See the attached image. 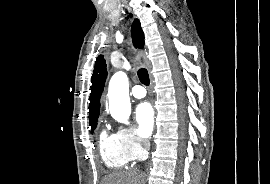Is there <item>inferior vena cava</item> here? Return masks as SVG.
<instances>
[{"mask_svg": "<svg viewBox=\"0 0 270 184\" xmlns=\"http://www.w3.org/2000/svg\"><path fill=\"white\" fill-rule=\"evenodd\" d=\"M144 145H145L146 148H149L150 147V142L148 140H145Z\"/></svg>", "mask_w": 270, "mask_h": 184, "instance_id": "1", "label": "inferior vena cava"}]
</instances>
